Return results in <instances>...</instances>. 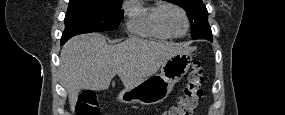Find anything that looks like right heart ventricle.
Instances as JSON below:
<instances>
[{"instance_id": "e07e8e85", "label": "right heart ventricle", "mask_w": 285, "mask_h": 115, "mask_svg": "<svg viewBox=\"0 0 285 115\" xmlns=\"http://www.w3.org/2000/svg\"><path fill=\"white\" fill-rule=\"evenodd\" d=\"M162 5L142 1H132L127 8V28L130 32L142 36L170 39L159 22V11Z\"/></svg>"}]
</instances>
